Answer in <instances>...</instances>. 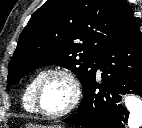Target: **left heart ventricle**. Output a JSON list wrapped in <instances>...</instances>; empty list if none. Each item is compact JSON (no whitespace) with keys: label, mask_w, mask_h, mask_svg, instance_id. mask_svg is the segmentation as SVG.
<instances>
[{"label":"left heart ventricle","mask_w":142,"mask_h":128,"mask_svg":"<svg viewBox=\"0 0 142 128\" xmlns=\"http://www.w3.org/2000/svg\"><path fill=\"white\" fill-rule=\"evenodd\" d=\"M71 99V87L67 79L60 75L46 78L40 92V106L49 113L60 112Z\"/></svg>","instance_id":"b2bd125f"}]
</instances>
